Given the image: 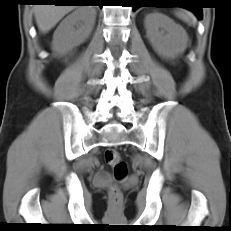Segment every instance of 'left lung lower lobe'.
I'll list each match as a JSON object with an SVG mask.
<instances>
[{
  "mask_svg": "<svg viewBox=\"0 0 231 231\" xmlns=\"http://www.w3.org/2000/svg\"><path fill=\"white\" fill-rule=\"evenodd\" d=\"M162 0H133V11H135L139 7H157V4ZM173 3L177 4H186L184 7L192 12H194L198 19H202V9L201 7L196 6L197 2L192 0H183V1H175Z\"/></svg>",
  "mask_w": 231,
  "mask_h": 231,
  "instance_id": "left-lung-lower-lobe-1",
  "label": "left lung lower lobe"
}]
</instances>
